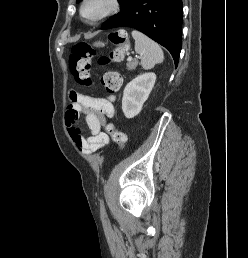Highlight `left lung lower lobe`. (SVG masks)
Returning a JSON list of instances; mask_svg holds the SVG:
<instances>
[{
    "label": "left lung lower lobe",
    "instance_id": "0a47b994",
    "mask_svg": "<svg viewBox=\"0 0 248 258\" xmlns=\"http://www.w3.org/2000/svg\"><path fill=\"white\" fill-rule=\"evenodd\" d=\"M182 9V0H130L101 29H137L164 46L177 66L182 46Z\"/></svg>",
    "mask_w": 248,
    "mask_h": 258
}]
</instances>
